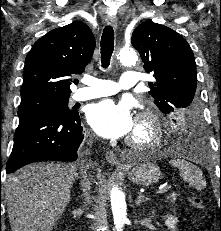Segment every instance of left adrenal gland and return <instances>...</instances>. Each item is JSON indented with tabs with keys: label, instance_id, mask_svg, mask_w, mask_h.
Listing matches in <instances>:
<instances>
[{
	"label": "left adrenal gland",
	"instance_id": "a2214340",
	"mask_svg": "<svg viewBox=\"0 0 221 231\" xmlns=\"http://www.w3.org/2000/svg\"><path fill=\"white\" fill-rule=\"evenodd\" d=\"M149 198L143 196L140 192H138L137 200L135 202L136 206H140L142 203L148 201Z\"/></svg>",
	"mask_w": 221,
	"mask_h": 231
}]
</instances>
